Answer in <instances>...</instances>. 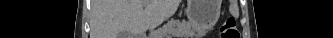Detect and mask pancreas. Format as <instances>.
I'll return each mask as SVG.
<instances>
[{
  "label": "pancreas",
  "instance_id": "obj_1",
  "mask_svg": "<svg viewBox=\"0 0 333 38\" xmlns=\"http://www.w3.org/2000/svg\"><path fill=\"white\" fill-rule=\"evenodd\" d=\"M172 32L175 36L183 35L189 32V29L185 23H180L179 25H171L166 28L155 32L153 35L161 36L164 33Z\"/></svg>",
  "mask_w": 333,
  "mask_h": 38
}]
</instances>
